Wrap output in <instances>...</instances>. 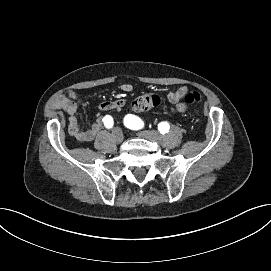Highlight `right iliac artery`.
<instances>
[{
    "label": "right iliac artery",
    "instance_id": "obj_1",
    "mask_svg": "<svg viewBox=\"0 0 271 271\" xmlns=\"http://www.w3.org/2000/svg\"><path fill=\"white\" fill-rule=\"evenodd\" d=\"M103 122H104V125H105L106 128L110 129V128L113 127L114 121H113V118L110 115H106L103 118Z\"/></svg>",
    "mask_w": 271,
    "mask_h": 271
}]
</instances>
